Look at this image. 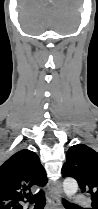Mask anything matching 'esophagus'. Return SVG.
I'll use <instances>...</instances> for the list:
<instances>
[{
    "mask_svg": "<svg viewBox=\"0 0 98 209\" xmlns=\"http://www.w3.org/2000/svg\"><path fill=\"white\" fill-rule=\"evenodd\" d=\"M63 195L61 183L58 181L50 187L49 203L52 209H60L61 198Z\"/></svg>",
    "mask_w": 98,
    "mask_h": 209,
    "instance_id": "34e87169",
    "label": "esophagus"
}]
</instances>
